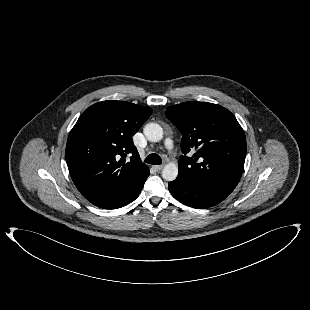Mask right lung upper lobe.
I'll return each mask as SVG.
<instances>
[{
    "label": "right lung upper lobe",
    "instance_id": "1",
    "mask_svg": "<svg viewBox=\"0 0 310 310\" xmlns=\"http://www.w3.org/2000/svg\"><path fill=\"white\" fill-rule=\"evenodd\" d=\"M151 114L150 107L110 100L90 106L79 117L65 156L75 186L92 204L129 197L149 176L132 136Z\"/></svg>",
    "mask_w": 310,
    "mask_h": 310
}]
</instances>
